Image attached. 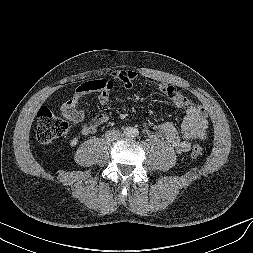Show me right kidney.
Wrapping results in <instances>:
<instances>
[{
    "instance_id": "right-kidney-1",
    "label": "right kidney",
    "mask_w": 253,
    "mask_h": 253,
    "mask_svg": "<svg viewBox=\"0 0 253 253\" xmlns=\"http://www.w3.org/2000/svg\"><path fill=\"white\" fill-rule=\"evenodd\" d=\"M77 143H78V137H75L72 140H70V146L71 147L76 146Z\"/></svg>"
}]
</instances>
